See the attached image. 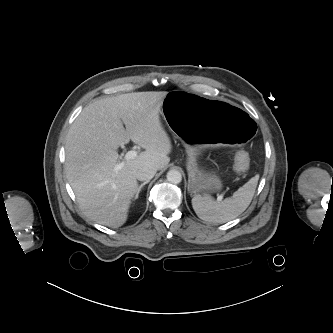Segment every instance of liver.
<instances>
[{
    "label": "liver",
    "instance_id": "6515ba94",
    "mask_svg": "<svg viewBox=\"0 0 333 333\" xmlns=\"http://www.w3.org/2000/svg\"><path fill=\"white\" fill-rule=\"evenodd\" d=\"M167 94L148 91L102 98L85 107L71 125L65 171L81 210L95 222L122 226L138 188L137 169L147 165L160 170L170 162L172 145L159 116ZM130 140L145 151L120 161L117 149Z\"/></svg>",
    "mask_w": 333,
    "mask_h": 333
}]
</instances>
